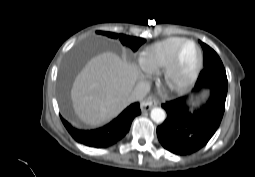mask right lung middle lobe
Wrapping results in <instances>:
<instances>
[{"label": "right lung middle lobe", "mask_w": 255, "mask_h": 177, "mask_svg": "<svg viewBox=\"0 0 255 177\" xmlns=\"http://www.w3.org/2000/svg\"><path fill=\"white\" fill-rule=\"evenodd\" d=\"M98 33L101 35H105L109 38H119V40L121 41L123 45L130 47L133 51H136L145 42L143 38L131 37L124 34L118 35L116 33L105 32V31H99ZM61 95H62V101L64 103L66 101V95H67L65 88L62 89Z\"/></svg>", "instance_id": "obj_1"}]
</instances>
